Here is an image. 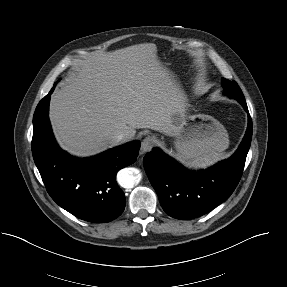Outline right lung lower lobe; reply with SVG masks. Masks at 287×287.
Masks as SVG:
<instances>
[{
	"label": "right lung lower lobe",
	"instance_id": "98d812e1",
	"mask_svg": "<svg viewBox=\"0 0 287 287\" xmlns=\"http://www.w3.org/2000/svg\"><path fill=\"white\" fill-rule=\"evenodd\" d=\"M54 87L39 102L33 116L35 164L59 206L85 221L110 222L122 214L126 203L116 173L136 161L140 143L130 142L86 159L71 157L57 145L48 119Z\"/></svg>",
	"mask_w": 287,
	"mask_h": 287
}]
</instances>
